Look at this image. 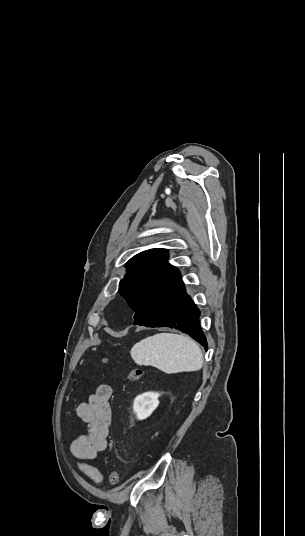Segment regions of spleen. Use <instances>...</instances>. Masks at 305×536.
Segmentation results:
<instances>
[{
  "label": "spleen",
  "mask_w": 305,
  "mask_h": 536,
  "mask_svg": "<svg viewBox=\"0 0 305 536\" xmlns=\"http://www.w3.org/2000/svg\"><path fill=\"white\" fill-rule=\"evenodd\" d=\"M131 358L138 366H154L165 374L196 372L203 366L202 352L191 338L155 334L133 346Z\"/></svg>",
  "instance_id": "1"
}]
</instances>
